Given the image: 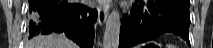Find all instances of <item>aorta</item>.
<instances>
[{
  "label": "aorta",
  "mask_w": 213,
  "mask_h": 48,
  "mask_svg": "<svg viewBox=\"0 0 213 48\" xmlns=\"http://www.w3.org/2000/svg\"><path fill=\"white\" fill-rule=\"evenodd\" d=\"M120 35V13L113 9L106 20L103 48H118Z\"/></svg>",
  "instance_id": "aorta-1"
}]
</instances>
